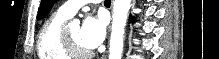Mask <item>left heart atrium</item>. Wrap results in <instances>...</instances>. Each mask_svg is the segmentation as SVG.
Wrapping results in <instances>:
<instances>
[{
    "instance_id": "left-heart-atrium-1",
    "label": "left heart atrium",
    "mask_w": 219,
    "mask_h": 59,
    "mask_svg": "<svg viewBox=\"0 0 219 59\" xmlns=\"http://www.w3.org/2000/svg\"><path fill=\"white\" fill-rule=\"evenodd\" d=\"M106 23L103 18L87 16L80 28L79 37L81 43L87 49L99 46L105 37Z\"/></svg>"
}]
</instances>
